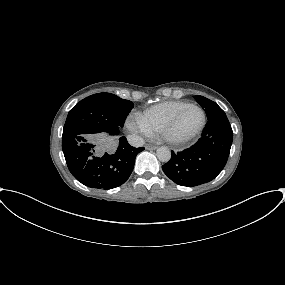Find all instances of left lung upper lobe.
Segmentation results:
<instances>
[{
	"mask_svg": "<svg viewBox=\"0 0 285 285\" xmlns=\"http://www.w3.org/2000/svg\"><path fill=\"white\" fill-rule=\"evenodd\" d=\"M195 99L200 106L205 109L208 120L214 117L226 116L225 112L217 105V103L199 95H196Z\"/></svg>",
	"mask_w": 285,
	"mask_h": 285,
	"instance_id": "obj_1",
	"label": "left lung upper lobe"
}]
</instances>
